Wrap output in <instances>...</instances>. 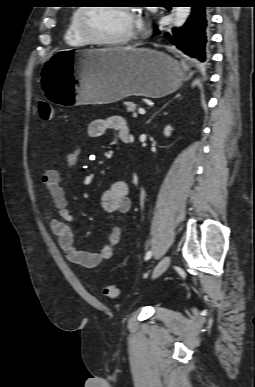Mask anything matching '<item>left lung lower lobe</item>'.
Returning a JSON list of instances; mask_svg holds the SVG:
<instances>
[{"label": "left lung lower lobe", "instance_id": "0a47b994", "mask_svg": "<svg viewBox=\"0 0 255 387\" xmlns=\"http://www.w3.org/2000/svg\"><path fill=\"white\" fill-rule=\"evenodd\" d=\"M182 3L192 7L191 14L184 26L173 29V35L165 36L181 50L193 66H201L209 60L210 12L212 0H184ZM169 9V8H168ZM159 34L158 29L155 30Z\"/></svg>", "mask_w": 255, "mask_h": 387}]
</instances>
